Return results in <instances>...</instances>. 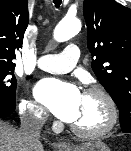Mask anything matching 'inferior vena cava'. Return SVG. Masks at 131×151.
I'll list each match as a JSON object with an SVG mask.
<instances>
[{
    "label": "inferior vena cava",
    "mask_w": 131,
    "mask_h": 151,
    "mask_svg": "<svg viewBox=\"0 0 131 151\" xmlns=\"http://www.w3.org/2000/svg\"><path fill=\"white\" fill-rule=\"evenodd\" d=\"M46 118L39 111L32 110V114L25 116L21 123L20 132L30 141H38L40 130L45 124Z\"/></svg>",
    "instance_id": "inferior-vena-cava-1"
}]
</instances>
